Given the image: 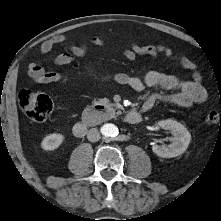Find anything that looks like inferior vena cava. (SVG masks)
Listing matches in <instances>:
<instances>
[{"mask_svg":"<svg viewBox=\"0 0 221 221\" xmlns=\"http://www.w3.org/2000/svg\"><path fill=\"white\" fill-rule=\"evenodd\" d=\"M87 138L91 142H97L100 139V133L98 129L91 128L87 133Z\"/></svg>","mask_w":221,"mask_h":221,"instance_id":"602c4592","label":"inferior vena cava"}]
</instances>
